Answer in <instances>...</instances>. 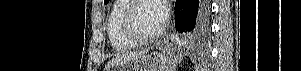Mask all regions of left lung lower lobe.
Returning <instances> with one entry per match:
<instances>
[{
	"instance_id": "left-lung-lower-lobe-1",
	"label": "left lung lower lobe",
	"mask_w": 301,
	"mask_h": 71,
	"mask_svg": "<svg viewBox=\"0 0 301 71\" xmlns=\"http://www.w3.org/2000/svg\"><path fill=\"white\" fill-rule=\"evenodd\" d=\"M209 0H176V29L186 36V43L202 45L210 32Z\"/></svg>"
}]
</instances>
